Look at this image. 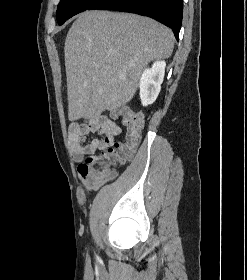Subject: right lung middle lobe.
Wrapping results in <instances>:
<instances>
[{
	"label": "right lung middle lobe",
	"instance_id": "1",
	"mask_svg": "<svg viewBox=\"0 0 247 280\" xmlns=\"http://www.w3.org/2000/svg\"><path fill=\"white\" fill-rule=\"evenodd\" d=\"M98 1L99 0H61L56 12L58 24L62 25L67 19L91 8V6Z\"/></svg>",
	"mask_w": 247,
	"mask_h": 280
}]
</instances>
